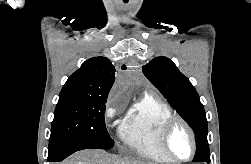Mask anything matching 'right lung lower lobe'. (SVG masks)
<instances>
[{"instance_id":"1","label":"right lung lower lobe","mask_w":251,"mask_h":164,"mask_svg":"<svg viewBox=\"0 0 251 164\" xmlns=\"http://www.w3.org/2000/svg\"><path fill=\"white\" fill-rule=\"evenodd\" d=\"M93 148L94 147L84 143H77V142L61 143L53 148H49V155L47 160L48 162H61L74 152L83 149H93Z\"/></svg>"}]
</instances>
